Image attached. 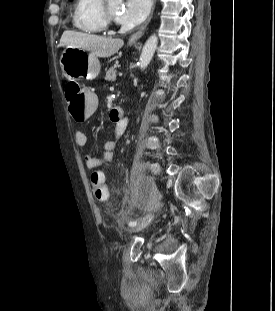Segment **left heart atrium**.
I'll return each mask as SVG.
<instances>
[{
    "label": "left heart atrium",
    "instance_id": "1",
    "mask_svg": "<svg viewBox=\"0 0 275 311\" xmlns=\"http://www.w3.org/2000/svg\"><path fill=\"white\" fill-rule=\"evenodd\" d=\"M151 0H126L117 19L126 27H134L142 23L147 17Z\"/></svg>",
    "mask_w": 275,
    "mask_h": 311
}]
</instances>
